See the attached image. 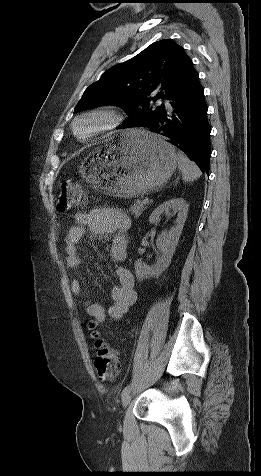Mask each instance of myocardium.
Masks as SVG:
<instances>
[{
    "instance_id": "1",
    "label": "myocardium",
    "mask_w": 261,
    "mask_h": 476,
    "mask_svg": "<svg viewBox=\"0 0 261 476\" xmlns=\"http://www.w3.org/2000/svg\"><path fill=\"white\" fill-rule=\"evenodd\" d=\"M92 122L93 126L86 134H80L78 126L84 122ZM124 121V115L114 106L102 105L77 115L71 123L73 136L81 142L118 128Z\"/></svg>"
}]
</instances>
